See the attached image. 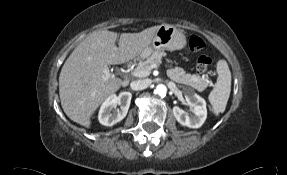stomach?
<instances>
[{
  "instance_id": "obj_1",
  "label": "stomach",
  "mask_w": 287,
  "mask_h": 175,
  "mask_svg": "<svg viewBox=\"0 0 287 175\" xmlns=\"http://www.w3.org/2000/svg\"><path fill=\"white\" fill-rule=\"evenodd\" d=\"M185 45L186 37L181 30L169 24H162L158 26L151 44L142 51L140 57L147 58L154 51L181 50Z\"/></svg>"
}]
</instances>
